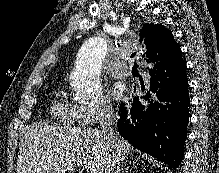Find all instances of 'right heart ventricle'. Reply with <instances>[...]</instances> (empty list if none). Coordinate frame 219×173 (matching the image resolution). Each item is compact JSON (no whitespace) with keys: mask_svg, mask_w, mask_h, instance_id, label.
Segmentation results:
<instances>
[{"mask_svg":"<svg viewBox=\"0 0 219 173\" xmlns=\"http://www.w3.org/2000/svg\"><path fill=\"white\" fill-rule=\"evenodd\" d=\"M52 117L62 124L74 125L78 122L77 106L69 102L65 92L61 91L51 107Z\"/></svg>","mask_w":219,"mask_h":173,"instance_id":"e07e8e85","label":"right heart ventricle"}]
</instances>
